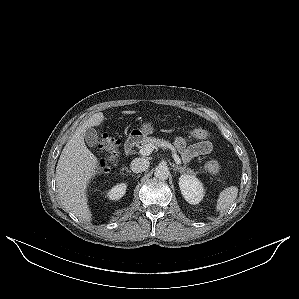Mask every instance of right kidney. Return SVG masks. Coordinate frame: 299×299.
Returning <instances> with one entry per match:
<instances>
[{
	"label": "right kidney",
	"instance_id": "obj_1",
	"mask_svg": "<svg viewBox=\"0 0 299 299\" xmlns=\"http://www.w3.org/2000/svg\"><path fill=\"white\" fill-rule=\"evenodd\" d=\"M126 188L127 185L125 183L117 184L108 191L107 197L110 200H119L126 193Z\"/></svg>",
	"mask_w": 299,
	"mask_h": 299
}]
</instances>
